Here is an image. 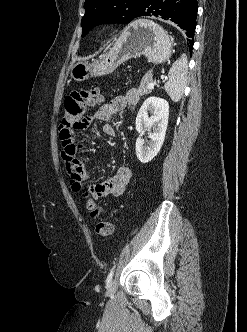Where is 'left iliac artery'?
I'll return each instance as SVG.
<instances>
[{
	"instance_id": "left-iliac-artery-1",
	"label": "left iliac artery",
	"mask_w": 247,
	"mask_h": 332,
	"mask_svg": "<svg viewBox=\"0 0 247 332\" xmlns=\"http://www.w3.org/2000/svg\"><path fill=\"white\" fill-rule=\"evenodd\" d=\"M114 269H115V267H113V268L110 270V272H109V274H108V276H107V279H106V282H107V283H110V282L112 281V278H113V275H114Z\"/></svg>"
}]
</instances>
